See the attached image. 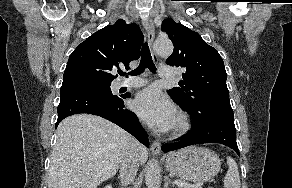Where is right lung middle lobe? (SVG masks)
I'll use <instances>...</instances> for the list:
<instances>
[{
    "instance_id": "1",
    "label": "right lung middle lobe",
    "mask_w": 292,
    "mask_h": 188,
    "mask_svg": "<svg viewBox=\"0 0 292 188\" xmlns=\"http://www.w3.org/2000/svg\"><path fill=\"white\" fill-rule=\"evenodd\" d=\"M68 85H80L84 86L108 96H114L111 92L110 85L111 81L109 80H102V79H93V78H78V79H71V80H64L62 86Z\"/></svg>"
}]
</instances>
